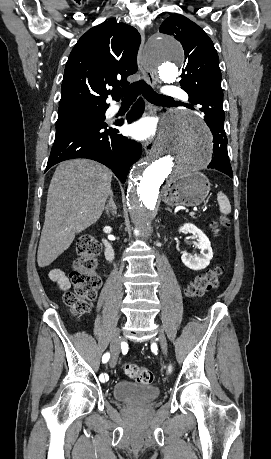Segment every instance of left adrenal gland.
Wrapping results in <instances>:
<instances>
[{
  "instance_id": "obj_1",
  "label": "left adrenal gland",
  "mask_w": 271,
  "mask_h": 459,
  "mask_svg": "<svg viewBox=\"0 0 271 459\" xmlns=\"http://www.w3.org/2000/svg\"><path fill=\"white\" fill-rule=\"evenodd\" d=\"M165 210H168V212H172V210H170V208H165Z\"/></svg>"
}]
</instances>
